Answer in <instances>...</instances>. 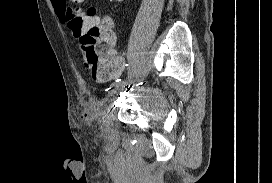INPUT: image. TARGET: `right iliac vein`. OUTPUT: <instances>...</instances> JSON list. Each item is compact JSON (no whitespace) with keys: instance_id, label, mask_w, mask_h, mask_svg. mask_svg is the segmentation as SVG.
<instances>
[{"instance_id":"right-iliac-vein-1","label":"right iliac vein","mask_w":272,"mask_h":183,"mask_svg":"<svg viewBox=\"0 0 272 183\" xmlns=\"http://www.w3.org/2000/svg\"><path fill=\"white\" fill-rule=\"evenodd\" d=\"M130 82L133 83L132 81L125 82V84H122V85H120L119 87H117V88L111 90V91L109 92V96H110V97L115 96L119 91H123V90L125 89V85H127V84L130 83Z\"/></svg>"}]
</instances>
